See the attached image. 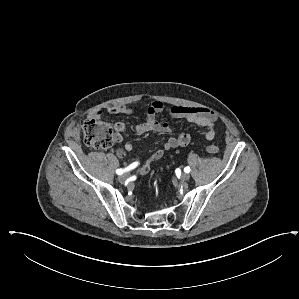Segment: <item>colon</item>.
Segmentation results:
<instances>
[{
    "label": "colon",
    "instance_id": "obj_1",
    "mask_svg": "<svg viewBox=\"0 0 299 299\" xmlns=\"http://www.w3.org/2000/svg\"><path fill=\"white\" fill-rule=\"evenodd\" d=\"M83 136L87 147L92 149H109L115 140L111 125L100 119L86 121L83 125ZM206 150L211 154L219 153V148L212 143L206 145Z\"/></svg>",
    "mask_w": 299,
    "mask_h": 299
}]
</instances>
